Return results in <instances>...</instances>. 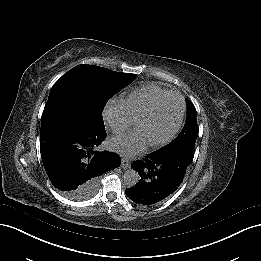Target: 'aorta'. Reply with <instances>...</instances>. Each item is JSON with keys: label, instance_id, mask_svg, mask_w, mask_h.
<instances>
[{"label": "aorta", "instance_id": "1", "mask_svg": "<svg viewBox=\"0 0 261 261\" xmlns=\"http://www.w3.org/2000/svg\"><path fill=\"white\" fill-rule=\"evenodd\" d=\"M124 183L127 187H134L140 180V175L134 169H127L123 175Z\"/></svg>", "mask_w": 261, "mask_h": 261}]
</instances>
